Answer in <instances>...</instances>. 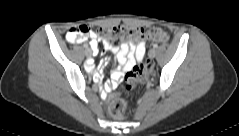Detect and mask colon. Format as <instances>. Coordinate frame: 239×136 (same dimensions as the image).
Wrapping results in <instances>:
<instances>
[{
    "mask_svg": "<svg viewBox=\"0 0 239 136\" xmlns=\"http://www.w3.org/2000/svg\"><path fill=\"white\" fill-rule=\"evenodd\" d=\"M91 32V29L87 25H79L71 28L67 36L71 41H77L89 35ZM95 33L113 45L119 43L123 38H128L132 41L141 39L157 42H165L168 39V34L163 29L157 27L142 29L127 25H115L97 28ZM151 69L152 63L149 60H141V62L126 73L124 77L125 89L130 91L143 83ZM126 110L127 105L122 97L115 96L112 98L109 104V112L113 118L121 119Z\"/></svg>",
    "mask_w": 239,
    "mask_h": 136,
    "instance_id": "colon-1",
    "label": "colon"
}]
</instances>
